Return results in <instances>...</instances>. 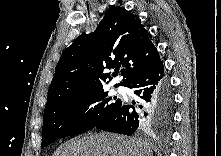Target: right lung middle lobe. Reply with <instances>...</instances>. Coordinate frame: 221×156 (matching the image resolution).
<instances>
[{"mask_svg": "<svg viewBox=\"0 0 221 156\" xmlns=\"http://www.w3.org/2000/svg\"><path fill=\"white\" fill-rule=\"evenodd\" d=\"M107 96L103 89L77 91L45 108L41 148L57 139L89 131L108 118L122 101L111 102L112 97Z\"/></svg>", "mask_w": 221, "mask_h": 156, "instance_id": "obj_1", "label": "right lung middle lobe"}]
</instances>
